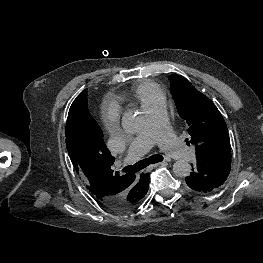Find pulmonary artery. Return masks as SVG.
I'll return each instance as SVG.
<instances>
[{
  "label": "pulmonary artery",
  "mask_w": 263,
  "mask_h": 263,
  "mask_svg": "<svg viewBox=\"0 0 263 263\" xmlns=\"http://www.w3.org/2000/svg\"><path fill=\"white\" fill-rule=\"evenodd\" d=\"M146 122L143 129L130 144L126 161L132 162L148 152L154 144L169 156L184 161L194 157V149L182 144L171 130L163 98L143 107Z\"/></svg>",
  "instance_id": "1"
}]
</instances>
